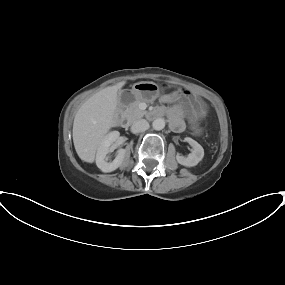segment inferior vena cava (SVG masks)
<instances>
[{"mask_svg":"<svg viewBox=\"0 0 285 285\" xmlns=\"http://www.w3.org/2000/svg\"><path fill=\"white\" fill-rule=\"evenodd\" d=\"M149 128V123L145 119L137 120L133 122L131 126L132 133L144 132Z\"/></svg>","mask_w":285,"mask_h":285,"instance_id":"obj_1","label":"inferior vena cava"}]
</instances>
